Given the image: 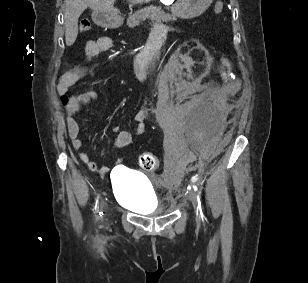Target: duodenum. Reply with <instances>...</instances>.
Returning <instances> with one entry per match:
<instances>
[{
	"instance_id": "duodenum-1",
	"label": "duodenum",
	"mask_w": 308,
	"mask_h": 283,
	"mask_svg": "<svg viewBox=\"0 0 308 283\" xmlns=\"http://www.w3.org/2000/svg\"><path fill=\"white\" fill-rule=\"evenodd\" d=\"M120 16L118 10H111L107 16L99 17V23L101 25H109L113 20L117 19ZM165 38V33L163 29H160L157 33L156 38H149L147 44L144 45V50H140V56L138 60L140 62H152V57H155V51L159 48V45H162V42Z\"/></svg>"
}]
</instances>
